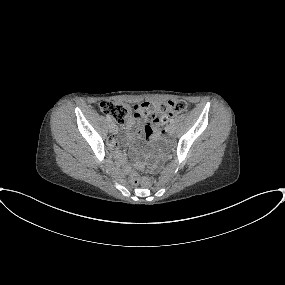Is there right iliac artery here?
I'll list each match as a JSON object with an SVG mask.
<instances>
[{"label": "right iliac artery", "mask_w": 285, "mask_h": 285, "mask_svg": "<svg viewBox=\"0 0 285 285\" xmlns=\"http://www.w3.org/2000/svg\"><path fill=\"white\" fill-rule=\"evenodd\" d=\"M106 118H107L108 121H111L110 116L107 115Z\"/></svg>", "instance_id": "82829eb1"}]
</instances>
